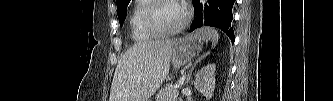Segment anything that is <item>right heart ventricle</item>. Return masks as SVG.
I'll use <instances>...</instances> for the list:
<instances>
[{
  "instance_id": "right-heart-ventricle-1",
  "label": "right heart ventricle",
  "mask_w": 333,
  "mask_h": 101,
  "mask_svg": "<svg viewBox=\"0 0 333 101\" xmlns=\"http://www.w3.org/2000/svg\"><path fill=\"white\" fill-rule=\"evenodd\" d=\"M150 3L151 1L149 0L136 1L131 10L129 28L131 37L136 42H147L155 38L143 26V14Z\"/></svg>"
}]
</instances>
